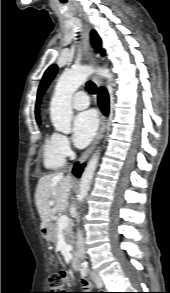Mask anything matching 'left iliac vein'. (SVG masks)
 Returning a JSON list of instances; mask_svg holds the SVG:
<instances>
[{
	"label": "left iliac vein",
	"instance_id": "4c4485c4",
	"mask_svg": "<svg viewBox=\"0 0 170 293\" xmlns=\"http://www.w3.org/2000/svg\"><path fill=\"white\" fill-rule=\"evenodd\" d=\"M93 276H94V282H95V285H96L98 288L103 287V280H102V278L100 277V275H98V274H93Z\"/></svg>",
	"mask_w": 170,
	"mask_h": 293
}]
</instances>
